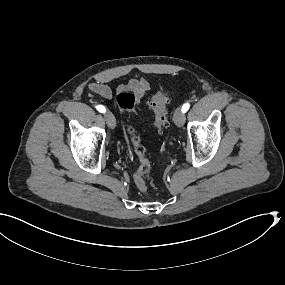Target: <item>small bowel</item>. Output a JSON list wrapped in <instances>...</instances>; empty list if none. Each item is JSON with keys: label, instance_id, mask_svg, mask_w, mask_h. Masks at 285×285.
Instances as JSON below:
<instances>
[{"label": "small bowel", "instance_id": "c3829d8e", "mask_svg": "<svg viewBox=\"0 0 285 285\" xmlns=\"http://www.w3.org/2000/svg\"><path fill=\"white\" fill-rule=\"evenodd\" d=\"M89 89L105 99L109 100L112 98V90L105 83L101 82L90 83ZM148 89H149V84L143 78H132L126 84H121L117 87L118 92L122 91L133 92L136 95L138 102L144 96V94L147 92Z\"/></svg>", "mask_w": 285, "mask_h": 285}]
</instances>
